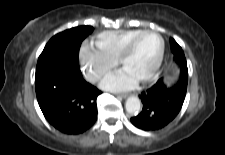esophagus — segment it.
<instances>
[{"label": "esophagus", "mask_w": 225, "mask_h": 155, "mask_svg": "<svg viewBox=\"0 0 225 155\" xmlns=\"http://www.w3.org/2000/svg\"><path fill=\"white\" fill-rule=\"evenodd\" d=\"M117 97L127 98L128 97V94H118Z\"/></svg>", "instance_id": "34e87169"}]
</instances>
